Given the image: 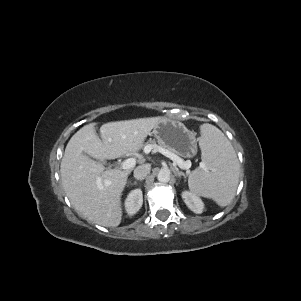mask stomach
<instances>
[{
	"instance_id": "1",
	"label": "stomach",
	"mask_w": 301,
	"mask_h": 301,
	"mask_svg": "<svg viewBox=\"0 0 301 301\" xmlns=\"http://www.w3.org/2000/svg\"><path fill=\"white\" fill-rule=\"evenodd\" d=\"M153 134L160 145L184 158H192L197 153L196 133L180 121L163 118L154 127Z\"/></svg>"
}]
</instances>
